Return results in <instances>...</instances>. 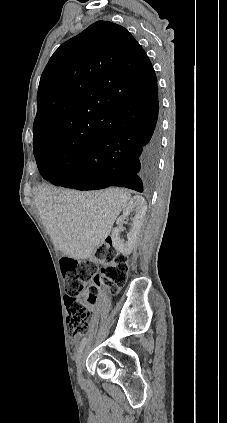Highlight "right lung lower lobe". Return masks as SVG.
I'll return each mask as SVG.
<instances>
[{"instance_id":"98d812e1","label":"right lung lower lobe","mask_w":227,"mask_h":423,"mask_svg":"<svg viewBox=\"0 0 227 423\" xmlns=\"http://www.w3.org/2000/svg\"><path fill=\"white\" fill-rule=\"evenodd\" d=\"M158 89L146 99L113 105L108 114L125 122L123 128L105 130L87 156L65 170L44 164L39 172L54 185L77 190L110 186L149 191L156 179L160 152Z\"/></svg>"}]
</instances>
